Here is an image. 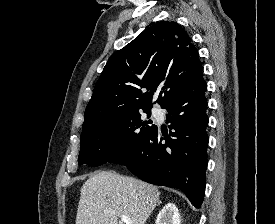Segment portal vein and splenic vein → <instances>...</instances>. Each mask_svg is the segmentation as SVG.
<instances>
[{"mask_svg":"<svg viewBox=\"0 0 275 224\" xmlns=\"http://www.w3.org/2000/svg\"><path fill=\"white\" fill-rule=\"evenodd\" d=\"M121 222L125 224H132L131 220L127 216H122Z\"/></svg>","mask_w":275,"mask_h":224,"instance_id":"18ae733b","label":"portal vein and splenic vein"}]
</instances>
